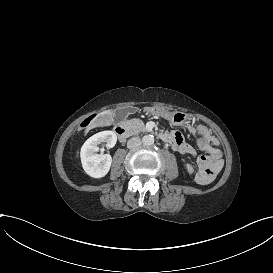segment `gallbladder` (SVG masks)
Instances as JSON below:
<instances>
[{"mask_svg":"<svg viewBox=\"0 0 273 273\" xmlns=\"http://www.w3.org/2000/svg\"><path fill=\"white\" fill-rule=\"evenodd\" d=\"M135 111H136L135 107H127L126 109L125 108L118 109L116 111V121L121 122L125 120L127 114H134Z\"/></svg>","mask_w":273,"mask_h":273,"instance_id":"gallbladder-1","label":"gallbladder"}]
</instances>
